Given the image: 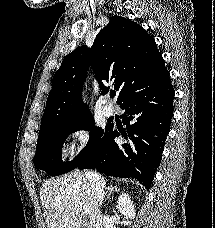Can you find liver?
I'll use <instances>...</instances> for the list:
<instances>
[{
    "label": "liver",
    "instance_id": "6515ba94",
    "mask_svg": "<svg viewBox=\"0 0 215 228\" xmlns=\"http://www.w3.org/2000/svg\"><path fill=\"white\" fill-rule=\"evenodd\" d=\"M40 200L46 228H103L100 204L86 172L47 180Z\"/></svg>",
    "mask_w": 215,
    "mask_h": 228
}]
</instances>
